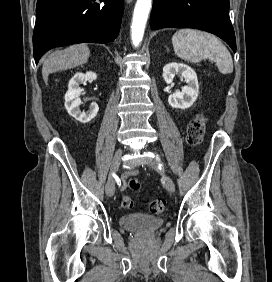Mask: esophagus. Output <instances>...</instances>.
Listing matches in <instances>:
<instances>
[{"label": "esophagus", "mask_w": 272, "mask_h": 282, "mask_svg": "<svg viewBox=\"0 0 272 282\" xmlns=\"http://www.w3.org/2000/svg\"><path fill=\"white\" fill-rule=\"evenodd\" d=\"M133 0H126L127 3H131Z\"/></svg>", "instance_id": "34e87169"}]
</instances>
